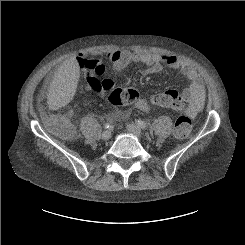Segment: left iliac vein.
Instances as JSON below:
<instances>
[{
  "label": "left iliac vein",
  "instance_id": "1",
  "mask_svg": "<svg viewBox=\"0 0 245 245\" xmlns=\"http://www.w3.org/2000/svg\"><path fill=\"white\" fill-rule=\"evenodd\" d=\"M127 130L129 133H131L132 135H134L138 138H140L142 136L141 129L138 126H136L135 124H132V123L128 124Z\"/></svg>",
  "mask_w": 245,
  "mask_h": 245
}]
</instances>
